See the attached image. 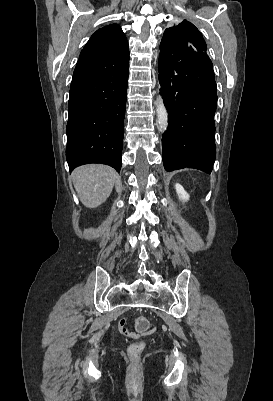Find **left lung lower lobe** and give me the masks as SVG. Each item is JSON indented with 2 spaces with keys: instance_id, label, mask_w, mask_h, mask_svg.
Returning a JSON list of instances; mask_svg holds the SVG:
<instances>
[{
  "instance_id": "obj_1",
  "label": "left lung lower lobe",
  "mask_w": 273,
  "mask_h": 401,
  "mask_svg": "<svg viewBox=\"0 0 273 401\" xmlns=\"http://www.w3.org/2000/svg\"><path fill=\"white\" fill-rule=\"evenodd\" d=\"M160 93L168 111V130L162 137L166 171L185 167L208 174L216 156L217 90L212 61L190 46L160 44Z\"/></svg>"
}]
</instances>
